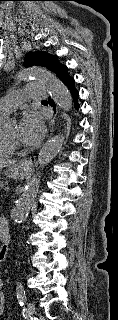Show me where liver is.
<instances>
[{
  "label": "liver",
  "instance_id": "liver-1",
  "mask_svg": "<svg viewBox=\"0 0 118 320\" xmlns=\"http://www.w3.org/2000/svg\"><path fill=\"white\" fill-rule=\"evenodd\" d=\"M16 160L11 159H0V170L4 167H8L12 164H15Z\"/></svg>",
  "mask_w": 118,
  "mask_h": 320
}]
</instances>
